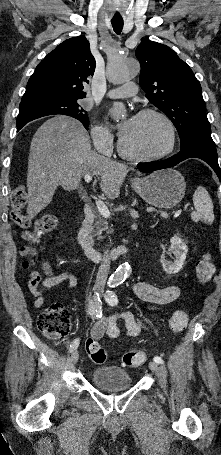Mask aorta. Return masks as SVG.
<instances>
[{
    "mask_svg": "<svg viewBox=\"0 0 221 455\" xmlns=\"http://www.w3.org/2000/svg\"><path fill=\"white\" fill-rule=\"evenodd\" d=\"M140 71V66L134 60H111L107 65V78L111 83H123L134 78ZM126 110L122 103H114L112 114L114 118L123 117ZM130 266L128 263L121 264L111 277L112 283L124 280Z\"/></svg>",
    "mask_w": 221,
    "mask_h": 455,
    "instance_id": "1",
    "label": "aorta"
}]
</instances>
